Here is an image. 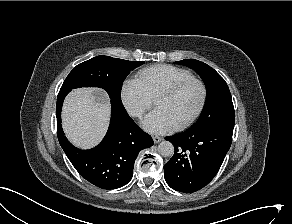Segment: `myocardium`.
<instances>
[{"mask_svg":"<svg viewBox=\"0 0 292 224\" xmlns=\"http://www.w3.org/2000/svg\"><path fill=\"white\" fill-rule=\"evenodd\" d=\"M193 83L197 84L200 87L201 100H200V103H199L197 109L195 110V112L186 121H184V122H182L174 127L175 130H177V131L184 130V129L188 128L189 126H191L200 117V115L204 111V108L206 106L207 99H208V89H207L205 82L199 78H196V77H189V78L183 79L179 82H176L169 87H166L155 98V105H156V102L159 99L173 97L176 94H178L180 91H182L185 87H187L188 85L193 84Z\"/></svg>","mask_w":292,"mask_h":224,"instance_id":"myocardium-1","label":"myocardium"}]
</instances>
